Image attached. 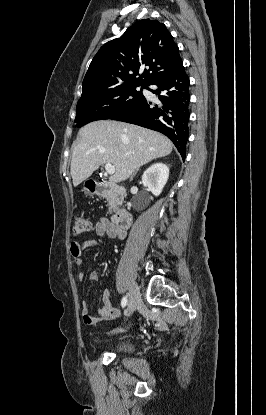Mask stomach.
<instances>
[{
    "mask_svg": "<svg viewBox=\"0 0 266 415\" xmlns=\"http://www.w3.org/2000/svg\"><path fill=\"white\" fill-rule=\"evenodd\" d=\"M84 192H85V194H91L92 192L89 190V189H87V188H84V190H83Z\"/></svg>",
    "mask_w": 266,
    "mask_h": 415,
    "instance_id": "0dacf381",
    "label": "stomach"
}]
</instances>
